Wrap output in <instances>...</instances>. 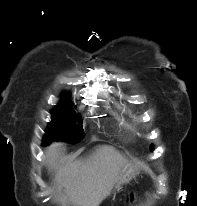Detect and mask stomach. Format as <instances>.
Instances as JSON below:
<instances>
[{
	"mask_svg": "<svg viewBox=\"0 0 197 206\" xmlns=\"http://www.w3.org/2000/svg\"><path fill=\"white\" fill-rule=\"evenodd\" d=\"M136 175H137V171L134 168L130 167L129 165H125L121 170V172L119 173V176L115 181L112 189L114 188L115 190H119L122 185L130 182Z\"/></svg>",
	"mask_w": 197,
	"mask_h": 206,
	"instance_id": "obj_1",
	"label": "stomach"
}]
</instances>
